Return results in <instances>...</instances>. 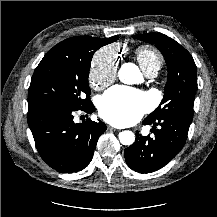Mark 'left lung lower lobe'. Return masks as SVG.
Segmentation results:
<instances>
[{"mask_svg": "<svg viewBox=\"0 0 217 217\" xmlns=\"http://www.w3.org/2000/svg\"><path fill=\"white\" fill-rule=\"evenodd\" d=\"M190 123V120L175 115L157 120L146 118L143 124L153 125L155 136L137 135L134 144L125 149L129 168L149 173L164 167L183 148ZM157 125L160 127L156 128Z\"/></svg>", "mask_w": 217, "mask_h": 217, "instance_id": "left-lung-lower-lobe-1", "label": "left lung lower lobe"}]
</instances>
